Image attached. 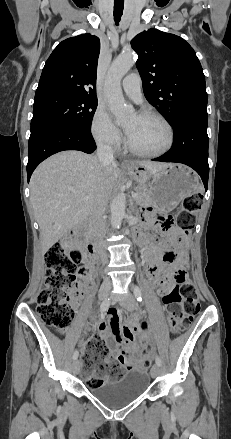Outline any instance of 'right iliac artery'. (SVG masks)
I'll list each match as a JSON object with an SVG mask.
<instances>
[{"mask_svg": "<svg viewBox=\"0 0 231 439\" xmlns=\"http://www.w3.org/2000/svg\"><path fill=\"white\" fill-rule=\"evenodd\" d=\"M110 305V301L109 299H106L105 301L102 302L101 306H100V311L104 312L108 309ZM79 352L77 350L74 351L73 353V359L76 360L78 358Z\"/></svg>", "mask_w": 231, "mask_h": 439, "instance_id": "right-iliac-artery-1", "label": "right iliac artery"}]
</instances>
